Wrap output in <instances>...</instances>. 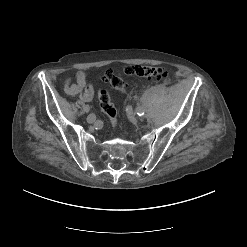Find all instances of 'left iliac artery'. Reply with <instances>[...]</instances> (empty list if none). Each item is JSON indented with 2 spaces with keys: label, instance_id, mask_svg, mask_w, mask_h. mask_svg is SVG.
<instances>
[{
  "label": "left iliac artery",
  "instance_id": "left-iliac-artery-1",
  "mask_svg": "<svg viewBox=\"0 0 247 247\" xmlns=\"http://www.w3.org/2000/svg\"><path fill=\"white\" fill-rule=\"evenodd\" d=\"M136 113H137V115H139V116H143V115H144V110H143V108H142L141 106L137 107V108H136Z\"/></svg>",
  "mask_w": 247,
  "mask_h": 247
}]
</instances>
